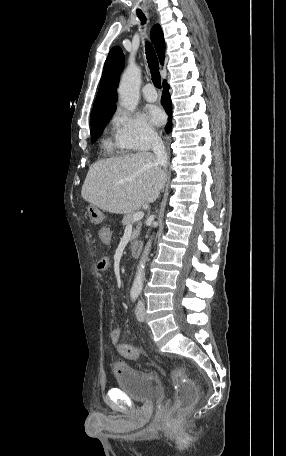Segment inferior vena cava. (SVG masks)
<instances>
[{"mask_svg": "<svg viewBox=\"0 0 286 456\" xmlns=\"http://www.w3.org/2000/svg\"><path fill=\"white\" fill-rule=\"evenodd\" d=\"M150 143L153 152L156 155L157 161L160 165H166L167 154L162 139L157 133L150 134Z\"/></svg>", "mask_w": 286, "mask_h": 456, "instance_id": "inferior-vena-cava-1", "label": "inferior vena cava"}]
</instances>
